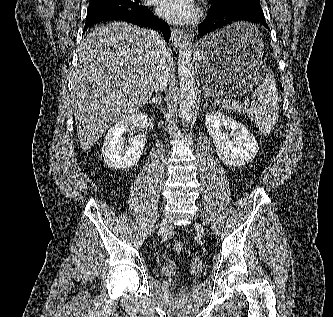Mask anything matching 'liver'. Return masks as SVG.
I'll return each instance as SVG.
<instances>
[{
  "label": "liver",
  "mask_w": 333,
  "mask_h": 317,
  "mask_svg": "<svg viewBox=\"0 0 333 317\" xmlns=\"http://www.w3.org/2000/svg\"><path fill=\"white\" fill-rule=\"evenodd\" d=\"M156 34L124 22L104 24L87 34L72 95L78 139L84 151L112 124L150 100L161 58ZM166 64L170 80L174 72L170 50Z\"/></svg>",
  "instance_id": "6515ba94"
}]
</instances>
